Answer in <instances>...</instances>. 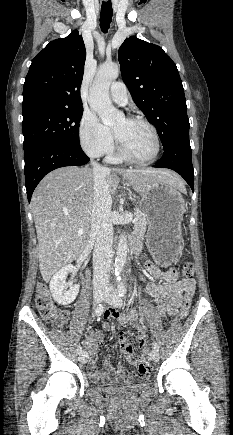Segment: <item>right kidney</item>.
<instances>
[{"instance_id": "right-kidney-1", "label": "right kidney", "mask_w": 233, "mask_h": 435, "mask_svg": "<svg viewBox=\"0 0 233 435\" xmlns=\"http://www.w3.org/2000/svg\"><path fill=\"white\" fill-rule=\"evenodd\" d=\"M76 270L73 265H66L57 271L50 281V291L54 300L60 305H69L77 297L79 293V285H74L67 290L66 278L69 273H74Z\"/></svg>"}]
</instances>
